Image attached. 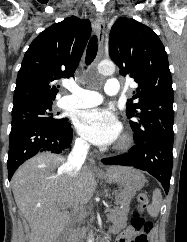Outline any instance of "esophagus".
Segmentation results:
<instances>
[{
	"mask_svg": "<svg viewBox=\"0 0 187 242\" xmlns=\"http://www.w3.org/2000/svg\"><path fill=\"white\" fill-rule=\"evenodd\" d=\"M95 28L98 35V43L100 49L103 48L104 43V35H105V21L104 18L101 15H97L95 19ZM90 166L95 171H100L99 167L95 164V161L93 159L90 160Z\"/></svg>",
	"mask_w": 187,
	"mask_h": 242,
	"instance_id": "esophagus-1",
	"label": "esophagus"
}]
</instances>
